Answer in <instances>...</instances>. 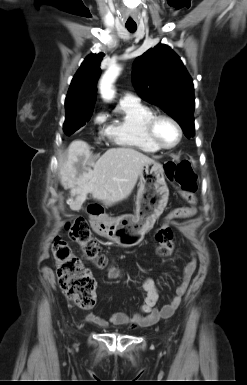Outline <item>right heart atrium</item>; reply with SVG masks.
I'll return each mask as SVG.
<instances>
[{
    "instance_id": "d8ad5b80",
    "label": "right heart atrium",
    "mask_w": 247,
    "mask_h": 385,
    "mask_svg": "<svg viewBox=\"0 0 247 385\" xmlns=\"http://www.w3.org/2000/svg\"><path fill=\"white\" fill-rule=\"evenodd\" d=\"M105 115L103 113H99L96 117H95V123L97 124H102L104 121H105Z\"/></svg>"
}]
</instances>
